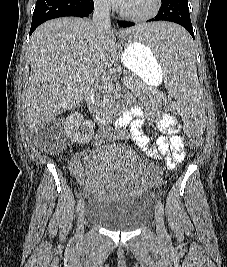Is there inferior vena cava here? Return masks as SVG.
<instances>
[{"mask_svg": "<svg viewBox=\"0 0 227 267\" xmlns=\"http://www.w3.org/2000/svg\"><path fill=\"white\" fill-rule=\"evenodd\" d=\"M92 23L98 31L110 29V4L107 0H96Z\"/></svg>", "mask_w": 227, "mask_h": 267, "instance_id": "1", "label": "inferior vena cava"}]
</instances>
